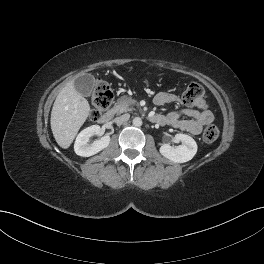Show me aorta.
<instances>
[{
	"instance_id": "obj_1",
	"label": "aorta",
	"mask_w": 264,
	"mask_h": 264,
	"mask_svg": "<svg viewBox=\"0 0 264 264\" xmlns=\"http://www.w3.org/2000/svg\"><path fill=\"white\" fill-rule=\"evenodd\" d=\"M132 123L134 126L140 127L142 125V119L140 117H135Z\"/></svg>"
}]
</instances>
